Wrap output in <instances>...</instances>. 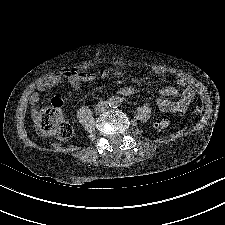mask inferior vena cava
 I'll use <instances>...</instances> for the list:
<instances>
[{
  "mask_svg": "<svg viewBox=\"0 0 225 225\" xmlns=\"http://www.w3.org/2000/svg\"><path fill=\"white\" fill-rule=\"evenodd\" d=\"M108 108V103L106 101H101L97 104L96 110L99 112H103L107 110Z\"/></svg>",
  "mask_w": 225,
  "mask_h": 225,
  "instance_id": "1",
  "label": "inferior vena cava"
}]
</instances>
